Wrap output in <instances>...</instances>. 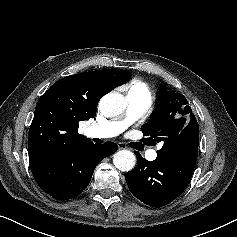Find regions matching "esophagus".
Here are the masks:
<instances>
[{
    "instance_id": "esophagus-1",
    "label": "esophagus",
    "mask_w": 237,
    "mask_h": 237,
    "mask_svg": "<svg viewBox=\"0 0 237 237\" xmlns=\"http://www.w3.org/2000/svg\"><path fill=\"white\" fill-rule=\"evenodd\" d=\"M117 146H118V149L121 150V149H127V146L125 143H122V142H119L117 143Z\"/></svg>"
}]
</instances>
